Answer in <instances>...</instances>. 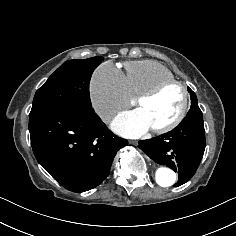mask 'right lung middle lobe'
<instances>
[{
    "mask_svg": "<svg viewBox=\"0 0 236 236\" xmlns=\"http://www.w3.org/2000/svg\"><path fill=\"white\" fill-rule=\"evenodd\" d=\"M103 57L64 62L36 91L29 118L63 108H91L89 83Z\"/></svg>",
    "mask_w": 236,
    "mask_h": 236,
    "instance_id": "obj_1",
    "label": "right lung middle lobe"
}]
</instances>
